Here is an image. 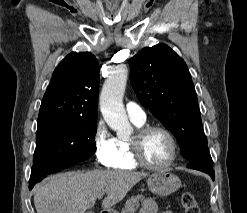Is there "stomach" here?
<instances>
[{"mask_svg":"<svg viewBox=\"0 0 247 213\" xmlns=\"http://www.w3.org/2000/svg\"><path fill=\"white\" fill-rule=\"evenodd\" d=\"M149 190L158 196H168L181 187L180 179L169 171H157L149 175Z\"/></svg>","mask_w":247,"mask_h":213,"instance_id":"stomach-1","label":"stomach"}]
</instances>
